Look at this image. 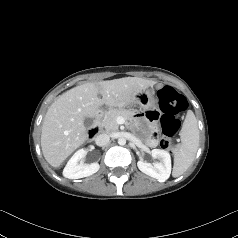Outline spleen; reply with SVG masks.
Here are the masks:
<instances>
[{
    "label": "spleen",
    "mask_w": 238,
    "mask_h": 238,
    "mask_svg": "<svg viewBox=\"0 0 238 238\" xmlns=\"http://www.w3.org/2000/svg\"><path fill=\"white\" fill-rule=\"evenodd\" d=\"M181 144L174 150L173 176L179 177L192 164L199 146V130L194 113L189 110L184 120L181 132Z\"/></svg>",
    "instance_id": "3e777b00"
}]
</instances>
